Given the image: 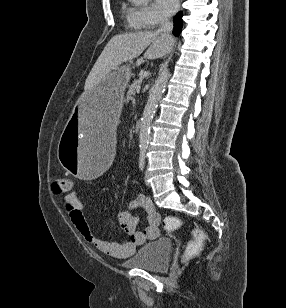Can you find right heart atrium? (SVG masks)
Here are the masks:
<instances>
[{
    "label": "right heart atrium",
    "mask_w": 286,
    "mask_h": 308,
    "mask_svg": "<svg viewBox=\"0 0 286 308\" xmlns=\"http://www.w3.org/2000/svg\"><path fill=\"white\" fill-rule=\"evenodd\" d=\"M136 24L140 29H152L165 22V16L157 13L149 4L145 3L134 9Z\"/></svg>",
    "instance_id": "obj_1"
}]
</instances>
